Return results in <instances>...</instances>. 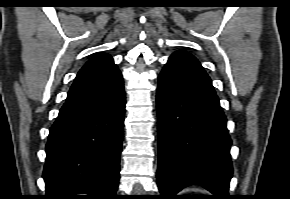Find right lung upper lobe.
Segmentation results:
<instances>
[{
    "label": "right lung upper lobe",
    "mask_w": 290,
    "mask_h": 199,
    "mask_svg": "<svg viewBox=\"0 0 290 199\" xmlns=\"http://www.w3.org/2000/svg\"><path fill=\"white\" fill-rule=\"evenodd\" d=\"M122 74L108 54H98L91 58L78 72L67 99L96 93L115 84Z\"/></svg>",
    "instance_id": "right-lung-upper-lobe-1"
}]
</instances>
